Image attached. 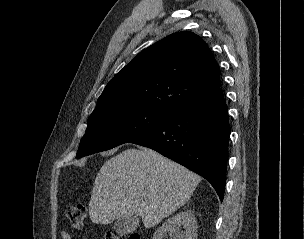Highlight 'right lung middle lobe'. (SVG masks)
<instances>
[{"instance_id": "1", "label": "right lung middle lobe", "mask_w": 304, "mask_h": 239, "mask_svg": "<svg viewBox=\"0 0 304 239\" xmlns=\"http://www.w3.org/2000/svg\"><path fill=\"white\" fill-rule=\"evenodd\" d=\"M170 115L151 108L130 107L90 116L77 158L130 142L162 124Z\"/></svg>"}]
</instances>
